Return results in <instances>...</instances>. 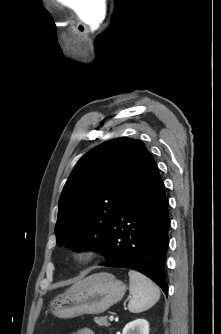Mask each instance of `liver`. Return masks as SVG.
Returning a JSON list of instances; mask_svg holds the SVG:
<instances>
[{
    "mask_svg": "<svg viewBox=\"0 0 221 334\" xmlns=\"http://www.w3.org/2000/svg\"><path fill=\"white\" fill-rule=\"evenodd\" d=\"M86 284V278L85 279H81L78 282H76L75 284H73L67 292H71V291H75L81 287H83Z\"/></svg>",
    "mask_w": 221,
    "mask_h": 334,
    "instance_id": "6515ba94",
    "label": "liver"
}]
</instances>
